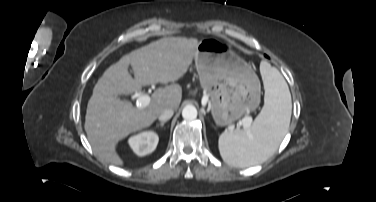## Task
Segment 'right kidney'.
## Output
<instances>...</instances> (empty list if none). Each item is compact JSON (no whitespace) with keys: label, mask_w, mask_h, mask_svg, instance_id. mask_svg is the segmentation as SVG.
Segmentation results:
<instances>
[{"label":"right kidney","mask_w":376,"mask_h":202,"mask_svg":"<svg viewBox=\"0 0 376 202\" xmlns=\"http://www.w3.org/2000/svg\"><path fill=\"white\" fill-rule=\"evenodd\" d=\"M159 137L154 131H143L129 139V145L139 156H145L152 153L157 144Z\"/></svg>","instance_id":"right-kidney-1"}]
</instances>
